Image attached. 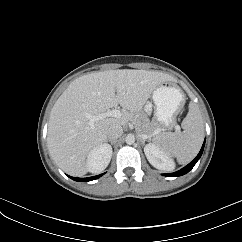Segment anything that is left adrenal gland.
I'll return each mask as SVG.
<instances>
[{
  "label": "left adrenal gland",
  "instance_id": "left-adrenal-gland-1",
  "mask_svg": "<svg viewBox=\"0 0 242 242\" xmlns=\"http://www.w3.org/2000/svg\"><path fill=\"white\" fill-rule=\"evenodd\" d=\"M139 139H140L142 145H145V141H146V139H145V138H142V136H140Z\"/></svg>",
  "mask_w": 242,
  "mask_h": 242
}]
</instances>
